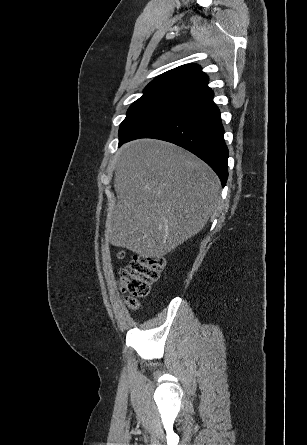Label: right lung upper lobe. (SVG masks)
Returning <instances> with one entry per match:
<instances>
[{"label": "right lung upper lobe", "mask_w": 307, "mask_h": 445, "mask_svg": "<svg viewBox=\"0 0 307 445\" xmlns=\"http://www.w3.org/2000/svg\"><path fill=\"white\" fill-rule=\"evenodd\" d=\"M208 77L197 64H186L156 77L144 89V95L193 99L208 90Z\"/></svg>", "instance_id": "right-lung-upper-lobe-1"}]
</instances>
